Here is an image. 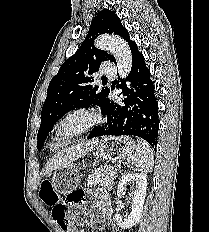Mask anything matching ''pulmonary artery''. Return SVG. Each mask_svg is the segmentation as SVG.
I'll list each match as a JSON object with an SVG mask.
<instances>
[{
    "label": "pulmonary artery",
    "instance_id": "pulmonary-artery-1",
    "mask_svg": "<svg viewBox=\"0 0 209 232\" xmlns=\"http://www.w3.org/2000/svg\"><path fill=\"white\" fill-rule=\"evenodd\" d=\"M103 74L108 77H113L116 75V68L112 64H107L103 69Z\"/></svg>",
    "mask_w": 209,
    "mask_h": 232
}]
</instances>
